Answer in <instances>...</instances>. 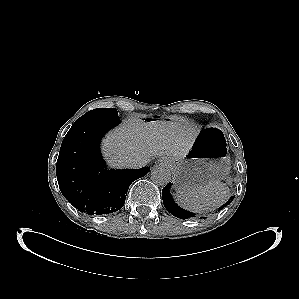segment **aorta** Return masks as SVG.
I'll return each mask as SVG.
<instances>
[{
  "instance_id": "aorta-1",
  "label": "aorta",
  "mask_w": 299,
  "mask_h": 299,
  "mask_svg": "<svg viewBox=\"0 0 299 299\" xmlns=\"http://www.w3.org/2000/svg\"><path fill=\"white\" fill-rule=\"evenodd\" d=\"M151 179L161 185L168 184L171 180V172L169 169L159 166L151 171Z\"/></svg>"
}]
</instances>
